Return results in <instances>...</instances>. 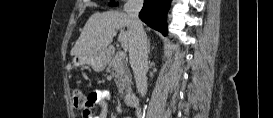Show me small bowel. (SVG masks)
Returning a JSON list of instances; mask_svg holds the SVG:
<instances>
[{
	"instance_id": "obj_1",
	"label": "small bowel",
	"mask_w": 273,
	"mask_h": 118,
	"mask_svg": "<svg viewBox=\"0 0 273 118\" xmlns=\"http://www.w3.org/2000/svg\"><path fill=\"white\" fill-rule=\"evenodd\" d=\"M109 93L102 90L92 92L87 98V106L82 110L83 118H94L93 109L97 108L99 113L97 118H106V100Z\"/></svg>"
}]
</instances>
